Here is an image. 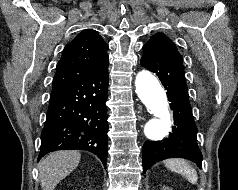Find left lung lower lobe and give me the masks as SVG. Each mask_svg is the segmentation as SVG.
Here are the masks:
<instances>
[{"instance_id":"obj_1","label":"left lung lower lobe","mask_w":238,"mask_h":190,"mask_svg":"<svg viewBox=\"0 0 238 190\" xmlns=\"http://www.w3.org/2000/svg\"><path fill=\"white\" fill-rule=\"evenodd\" d=\"M140 63L159 77L167 90L174 117V126L167 138L144 143V172L157 161L167 158H185L201 166L202 153L197 145V127L189 103L183 64L157 58L148 53H143Z\"/></svg>"}]
</instances>
